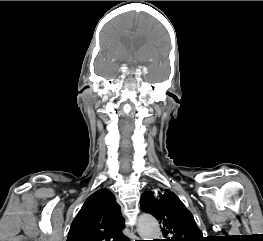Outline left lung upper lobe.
<instances>
[{
	"instance_id": "5c2ea615",
	"label": "left lung upper lobe",
	"mask_w": 263,
	"mask_h": 241,
	"mask_svg": "<svg viewBox=\"0 0 263 241\" xmlns=\"http://www.w3.org/2000/svg\"><path fill=\"white\" fill-rule=\"evenodd\" d=\"M141 209L162 224L164 241H204L193 215L171 190L145 192L141 197Z\"/></svg>"
}]
</instances>
